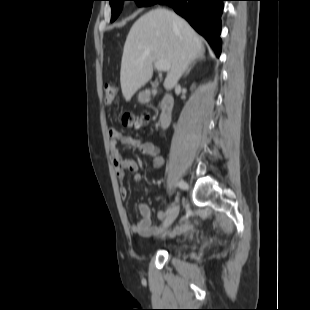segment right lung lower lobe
I'll list each match as a JSON object with an SVG mask.
<instances>
[{"label":"right lung lower lobe","instance_id":"98d812e1","mask_svg":"<svg viewBox=\"0 0 310 310\" xmlns=\"http://www.w3.org/2000/svg\"><path fill=\"white\" fill-rule=\"evenodd\" d=\"M225 0H155L167 4L185 18L206 40L219 57L221 53V15Z\"/></svg>","mask_w":310,"mask_h":310}]
</instances>
